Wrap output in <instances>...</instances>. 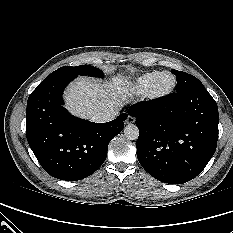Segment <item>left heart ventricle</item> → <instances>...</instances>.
<instances>
[{
	"mask_svg": "<svg viewBox=\"0 0 233 233\" xmlns=\"http://www.w3.org/2000/svg\"><path fill=\"white\" fill-rule=\"evenodd\" d=\"M171 84H172V78H171V76L164 75L157 82V84H156V90L159 91V92L164 91L167 88H169Z\"/></svg>",
	"mask_w": 233,
	"mask_h": 233,
	"instance_id": "left-heart-ventricle-1",
	"label": "left heart ventricle"
}]
</instances>
